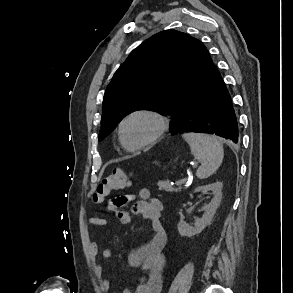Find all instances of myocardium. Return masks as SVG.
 Here are the masks:
<instances>
[{"instance_id":"f54148a6","label":"myocardium","mask_w":293,"mask_h":293,"mask_svg":"<svg viewBox=\"0 0 293 293\" xmlns=\"http://www.w3.org/2000/svg\"><path fill=\"white\" fill-rule=\"evenodd\" d=\"M135 116H146V117L153 119L154 122L156 123V129H155L153 135L150 138H148L147 140H145L141 143L135 144V145H130L125 140L123 129H124L125 124L131 118H133ZM167 129H168V121L162 114H160L156 111L150 110V109H138V110H134V111L130 112L121 120L119 127H118V133H119V138H120V141H121L123 147L129 151H136V150L145 148V147L157 142L165 134Z\"/></svg>"}]
</instances>
